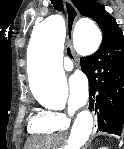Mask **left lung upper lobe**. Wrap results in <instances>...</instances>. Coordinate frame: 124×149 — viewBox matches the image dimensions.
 I'll list each match as a JSON object with an SVG mask.
<instances>
[{
  "label": "left lung upper lobe",
  "instance_id": "obj_1",
  "mask_svg": "<svg viewBox=\"0 0 124 149\" xmlns=\"http://www.w3.org/2000/svg\"><path fill=\"white\" fill-rule=\"evenodd\" d=\"M79 12L97 22L103 33L102 43L123 38L121 28L116 20L105 11L104 7L93 0H73Z\"/></svg>",
  "mask_w": 124,
  "mask_h": 149
}]
</instances>
